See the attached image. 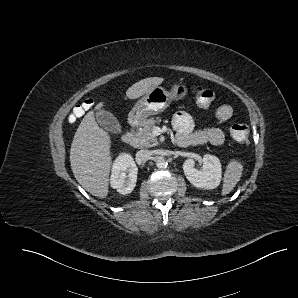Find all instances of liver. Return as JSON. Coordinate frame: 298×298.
<instances>
[{
    "label": "liver",
    "mask_w": 298,
    "mask_h": 298,
    "mask_svg": "<svg viewBox=\"0 0 298 298\" xmlns=\"http://www.w3.org/2000/svg\"><path fill=\"white\" fill-rule=\"evenodd\" d=\"M162 77L142 79L126 91L129 99H137L161 85ZM103 102L95 106L102 108ZM111 140L106 131L97 124L94 111H89L75 132L70 148V164L78 183L91 195L106 198L109 192V173L112 164Z\"/></svg>",
    "instance_id": "liver-1"
}]
</instances>
